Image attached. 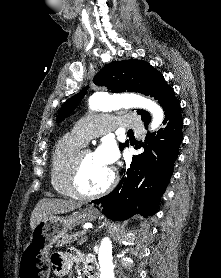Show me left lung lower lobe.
<instances>
[{
    "instance_id": "left-lung-lower-lobe-1",
    "label": "left lung lower lobe",
    "mask_w": 221,
    "mask_h": 278,
    "mask_svg": "<svg viewBox=\"0 0 221 278\" xmlns=\"http://www.w3.org/2000/svg\"><path fill=\"white\" fill-rule=\"evenodd\" d=\"M150 121H144L147 128ZM164 127L147 133L144 152L133 160L117 187L108 195L92 201L101 204L104 215L124 220L135 214L153 215L169 183L182 142L183 119L176 99L165 111ZM136 147V148H140Z\"/></svg>"
}]
</instances>
